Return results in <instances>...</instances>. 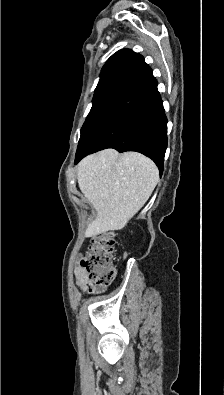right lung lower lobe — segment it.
Returning a JSON list of instances; mask_svg holds the SVG:
<instances>
[{"label": "right lung lower lobe", "instance_id": "1", "mask_svg": "<svg viewBox=\"0 0 224 395\" xmlns=\"http://www.w3.org/2000/svg\"><path fill=\"white\" fill-rule=\"evenodd\" d=\"M167 118L157 81L144 58L135 54L116 79L81 132L75 163L106 148L137 151L163 171Z\"/></svg>", "mask_w": 224, "mask_h": 395}]
</instances>
